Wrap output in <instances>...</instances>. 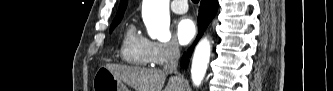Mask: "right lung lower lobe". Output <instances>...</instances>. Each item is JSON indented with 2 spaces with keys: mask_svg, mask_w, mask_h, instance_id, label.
<instances>
[{
  "mask_svg": "<svg viewBox=\"0 0 333 91\" xmlns=\"http://www.w3.org/2000/svg\"><path fill=\"white\" fill-rule=\"evenodd\" d=\"M218 10V1L217 0H201L200 8H199V16H198V36L196 38L195 43L188 50V55L190 56L192 50L197 43V41L203 35L205 29L208 24L214 18L216 12ZM188 62L187 54H184L182 58V65L185 66Z\"/></svg>",
  "mask_w": 333,
  "mask_h": 91,
  "instance_id": "right-lung-lower-lobe-1",
  "label": "right lung lower lobe"
}]
</instances>
